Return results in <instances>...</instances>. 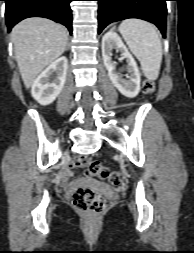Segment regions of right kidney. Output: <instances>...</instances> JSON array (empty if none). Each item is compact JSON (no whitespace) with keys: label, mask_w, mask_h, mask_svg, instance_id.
I'll use <instances>...</instances> for the list:
<instances>
[{"label":"right kidney","mask_w":194,"mask_h":253,"mask_svg":"<svg viewBox=\"0 0 194 253\" xmlns=\"http://www.w3.org/2000/svg\"><path fill=\"white\" fill-rule=\"evenodd\" d=\"M67 68L64 56L51 63L32 84V97L41 105L51 104L63 89Z\"/></svg>","instance_id":"ca27d5eb"}]
</instances>
